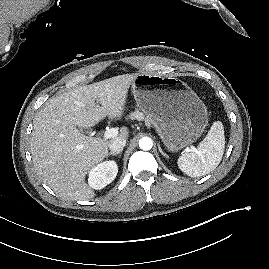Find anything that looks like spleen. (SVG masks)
I'll list each match as a JSON object with an SVG mask.
<instances>
[{"mask_svg": "<svg viewBox=\"0 0 269 269\" xmlns=\"http://www.w3.org/2000/svg\"><path fill=\"white\" fill-rule=\"evenodd\" d=\"M224 149V127L220 121H216L195 151L184 153L179 157L178 167L190 177L206 175L219 165Z\"/></svg>", "mask_w": 269, "mask_h": 269, "instance_id": "1", "label": "spleen"}]
</instances>
